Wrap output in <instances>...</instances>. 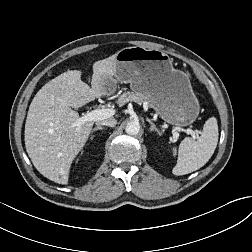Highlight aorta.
I'll use <instances>...</instances> for the list:
<instances>
[{"label": "aorta", "mask_w": 252, "mask_h": 252, "mask_svg": "<svg viewBox=\"0 0 252 252\" xmlns=\"http://www.w3.org/2000/svg\"><path fill=\"white\" fill-rule=\"evenodd\" d=\"M125 131L129 135H136L140 131V124L135 121L129 122L126 125Z\"/></svg>", "instance_id": "1"}]
</instances>
